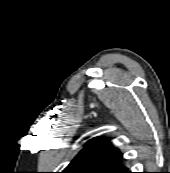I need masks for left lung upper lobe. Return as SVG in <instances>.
I'll return each instance as SVG.
<instances>
[{"instance_id":"left-lung-upper-lobe-1","label":"left lung upper lobe","mask_w":170,"mask_h":173,"mask_svg":"<svg viewBox=\"0 0 170 173\" xmlns=\"http://www.w3.org/2000/svg\"><path fill=\"white\" fill-rule=\"evenodd\" d=\"M123 154L104 137H95L61 173H122Z\"/></svg>"}]
</instances>
